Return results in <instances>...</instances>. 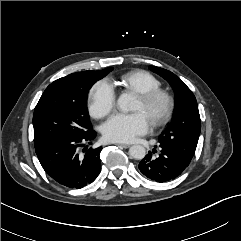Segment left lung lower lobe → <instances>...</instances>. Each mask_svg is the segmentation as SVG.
<instances>
[{"label":"left lung lower lobe","mask_w":241,"mask_h":241,"mask_svg":"<svg viewBox=\"0 0 241 241\" xmlns=\"http://www.w3.org/2000/svg\"><path fill=\"white\" fill-rule=\"evenodd\" d=\"M157 148V146H155ZM157 151L153 149L141 160L139 170L149 179L156 182H167L177 178L188 167L189 162L167 146L158 145Z\"/></svg>","instance_id":"obj_1"}]
</instances>
